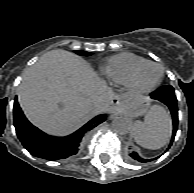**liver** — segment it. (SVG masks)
<instances>
[{"label": "liver", "mask_w": 194, "mask_h": 193, "mask_svg": "<svg viewBox=\"0 0 194 193\" xmlns=\"http://www.w3.org/2000/svg\"><path fill=\"white\" fill-rule=\"evenodd\" d=\"M17 95L30 122L54 136H66L110 110L114 99L130 102L138 97L115 95L85 60L62 49L45 53L24 72Z\"/></svg>", "instance_id": "obj_1"}]
</instances>
